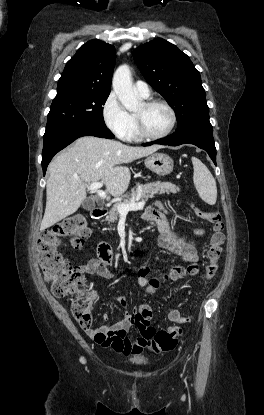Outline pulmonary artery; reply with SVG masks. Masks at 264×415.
I'll return each mask as SVG.
<instances>
[{
    "label": "pulmonary artery",
    "instance_id": "obj_1",
    "mask_svg": "<svg viewBox=\"0 0 264 415\" xmlns=\"http://www.w3.org/2000/svg\"><path fill=\"white\" fill-rule=\"evenodd\" d=\"M134 88L142 97L146 98L150 96V87L144 81L137 80L134 83Z\"/></svg>",
    "mask_w": 264,
    "mask_h": 415
}]
</instances>
